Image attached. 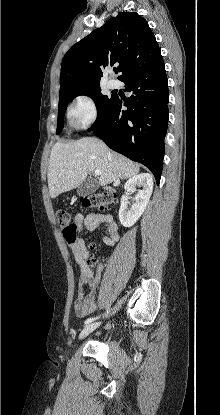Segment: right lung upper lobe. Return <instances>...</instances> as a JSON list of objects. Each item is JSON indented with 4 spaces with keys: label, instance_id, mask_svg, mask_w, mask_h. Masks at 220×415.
Instances as JSON below:
<instances>
[{
    "label": "right lung upper lobe",
    "instance_id": "obj_1",
    "mask_svg": "<svg viewBox=\"0 0 220 415\" xmlns=\"http://www.w3.org/2000/svg\"><path fill=\"white\" fill-rule=\"evenodd\" d=\"M162 61L147 21L135 12H121L74 44L63 58L60 93L83 85H98L106 66L119 64V80Z\"/></svg>",
    "mask_w": 220,
    "mask_h": 415
}]
</instances>
